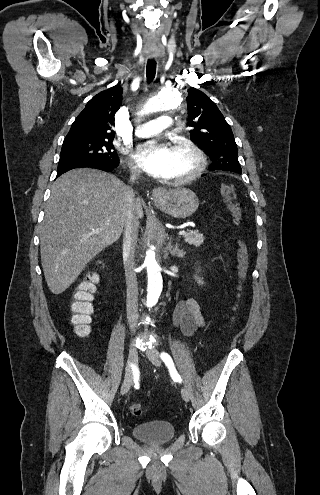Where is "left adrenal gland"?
<instances>
[{
    "label": "left adrenal gland",
    "mask_w": 320,
    "mask_h": 495,
    "mask_svg": "<svg viewBox=\"0 0 320 495\" xmlns=\"http://www.w3.org/2000/svg\"><path fill=\"white\" fill-rule=\"evenodd\" d=\"M169 251L173 256L181 257L185 255V252L181 249H179L178 243L175 244V246L172 245V241L169 243Z\"/></svg>",
    "instance_id": "a2214340"
}]
</instances>
